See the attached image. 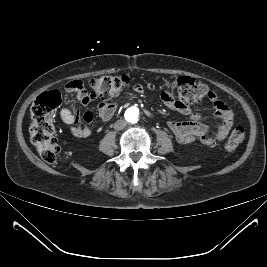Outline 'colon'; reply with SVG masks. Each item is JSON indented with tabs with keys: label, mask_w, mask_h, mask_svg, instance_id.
I'll use <instances>...</instances> for the list:
<instances>
[{
	"label": "colon",
	"mask_w": 267,
	"mask_h": 267,
	"mask_svg": "<svg viewBox=\"0 0 267 267\" xmlns=\"http://www.w3.org/2000/svg\"><path fill=\"white\" fill-rule=\"evenodd\" d=\"M130 82L131 78L127 75H106L91 78L87 82L91 90L89 96L108 102L123 93ZM164 86L175 93L178 99L184 103H193L215 97L213 91L206 84L188 76L167 80ZM60 102V93L51 90L41 94L31 107L30 139L42 160L48 164H55L60 152V146L55 137L56 127L54 124V112ZM244 138V128L236 127L225 141L224 147L227 150H233L243 142Z\"/></svg>",
	"instance_id": "1"
}]
</instances>
